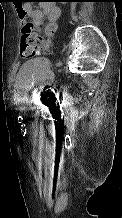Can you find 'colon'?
<instances>
[{"instance_id": "1", "label": "colon", "mask_w": 122, "mask_h": 218, "mask_svg": "<svg viewBox=\"0 0 122 218\" xmlns=\"http://www.w3.org/2000/svg\"><path fill=\"white\" fill-rule=\"evenodd\" d=\"M22 16L25 17L24 12ZM54 30V25H50L46 28L44 35H38L34 32L32 23L25 21L21 30L20 56L22 58L34 57L42 49L45 38L51 36Z\"/></svg>"}]
</instances>
